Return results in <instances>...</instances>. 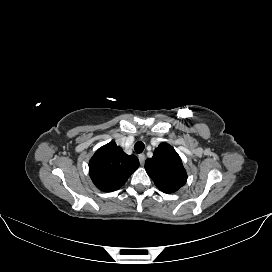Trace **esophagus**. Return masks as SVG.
<instances>
[{
  "label": "esophagus",
  "mask_w": 272,
  "mask_h": 272,
  "mask_svg": "<svg viewBox=\"0 0 272 272\" xmlns=\"http://www.w3.org/2000/svg\"><path fill=\"white\" fill-rule=\"evenodd\" d=\"M138 158H139L140 164H141V165H144V162H145V154H139Z\"/></svg>",
  "instance_id": "34e87169"
}]
</instances>
